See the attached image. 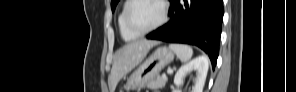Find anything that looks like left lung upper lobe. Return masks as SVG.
I'll list each match as a JSON object with an SVG mask.
<instances>
[{
    "mask_svg": "<svg viewBox=\"0 0 296 92\" xmlns=\"http://www.w3.org/2000/svg\"><path fill=\"white\" fill-rule=\"evenodd\" d=\"M118 2H119V0H112V2H111L112 11L115 10V7H116V5H117Z\"/></svg>",
    "mask_w": 296,
    "mask_h": 92,
    "instance_id": "left-lung-upper-lobe-1",
    "label": "left lung upper lobe"
}]
</instances>
